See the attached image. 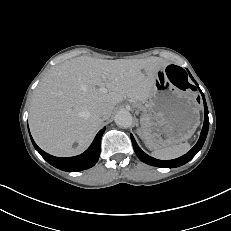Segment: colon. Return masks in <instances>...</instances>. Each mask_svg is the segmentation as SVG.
<instances>
[{"label": "colon", "instance_id": "1", "mask_svg": "<svg viewBox=\"0 0 231 231\" xmlns=\"http://www.w3.org/2000/svg\"><path fill=\"white\" fill-rule=\"evenodd\" d=\"M169 78L175 87L182 91L190 89L191 84L189 83L186 73L183 69L175 65H169L167 68Z\"/></svg>", "mask_w": 231, "mask_h": 231}]
</instances>
